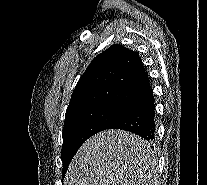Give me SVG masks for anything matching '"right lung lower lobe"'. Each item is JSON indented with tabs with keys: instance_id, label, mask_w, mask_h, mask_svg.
<instances>
[{
	"instance_id": "98d812e1",
	"label": "right lung lower lobe",
	"mask_w": 207,
	"mask_h": 185,
	"mask_svg": "<svg viewBox=\"0 0 207 185\" xmlns=\"http://www.w3.org/2000/svg\"><path fill=\"white\" fill-rule=\"evenodd\" d=\"M155 104L153 90L149 89L134 98L122 109L107 129L130 131L153 142L155 140Z\"/></svg>"
}]
</instances>
